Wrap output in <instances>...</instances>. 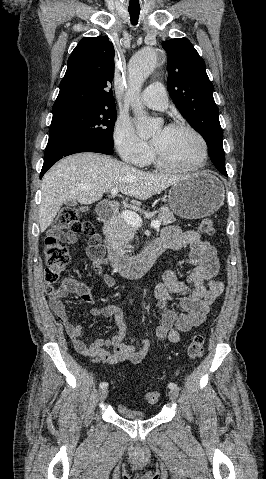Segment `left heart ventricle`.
Here are the masks:
<instances>
[{
	"instance_id": "left-heart-ventricle-1",
	"label": "left heart ventricle",
	"mask_w": 266,
	"mask_h": 479,
	"mask_svg": "<svg viewBox=\"0 0 266 479\" xmlns=\"http://www.w3.org/2000/svg\"><path fill=\"white\" fill-rule=\"evenodd\" d=\"M154 148L168 164L193 165L201 153L200 144L188 131L158 129L153 134Z\"/></svg>"
}]
</instances>
